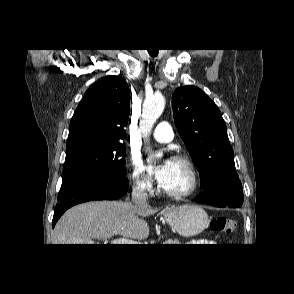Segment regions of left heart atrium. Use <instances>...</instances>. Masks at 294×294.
Returning <instances> with one entry per match:
<instances>
[{"instance_id":"left-heart-atrium-1","label":"left heart atrium","mask_w":294,"mask_h":294,"mask_svg":"<svg viewBox=\"0 0 294 294\" xmlns=\"http://www.w3.org/2000/svg\"><path fill=\"white\" fill-rule=\"evenodd\" d=\"M173 160L166 159L157 167L153 168L152 173L160 184H163L171 170Z\"/></svg>"}]
</instances>
